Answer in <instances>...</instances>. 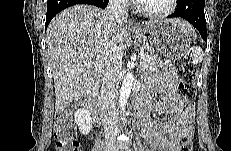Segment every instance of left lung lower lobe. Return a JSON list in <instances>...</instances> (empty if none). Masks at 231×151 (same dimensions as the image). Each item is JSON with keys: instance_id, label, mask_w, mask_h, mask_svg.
Here are the masks:
<instances>
[{"instance_id": "0a47b994", "label": "left lung lower lobe", "mask_w": 231, "mask_h": 151, "mask_svg": "<svg viewBox=\"0 0 231 151\" xmlns=\"http://www.w3.org/2000/svg\"><path fill=\"white\" fill-rule=\"evenodd\" d=\"M205 0H182L176 11L168 17H180L189 21L207 42ZM147 20V19H145Z\"/></svg>"}]
</instances>
